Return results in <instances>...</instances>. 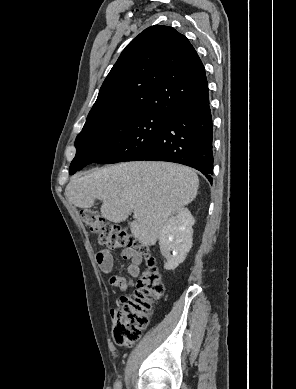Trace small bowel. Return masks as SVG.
Segmentation results:
<instances>
[{"mask_svg": "<svg viewBox=\"0 0 296 389\" xmlns=\"http://www.w3.org/2000/svg\"><path fill=\"white\" fill-rule=\"evenodd\" d=\"M122 257L131 260V264L127 267L129 277L112 275L109 278V283L111 286L117 287L121 291H126L133 284V279L137 278L140 274L141 256L134 249L126 248L122 251ZM96 261L104 273L112 272L114 262L109 250H99L96 253Z\"/></svg>", "mask_w": 296, "mask_h": 389, "instance_id": "c3829d8e", "label": "small bowel"}]
</instances>
